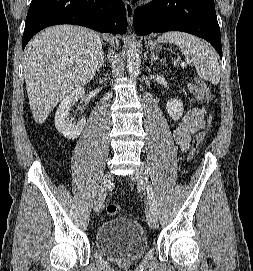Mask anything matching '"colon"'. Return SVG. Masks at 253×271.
<instances>
[{
	"mask_svg": "<svg viewBox=\"0 0 253 271\" xmlns=\"http://www.w3.org/2000/svg\"><path fill=\"white\" fill-rule=\"evenodd\" d=\"M197 86L205 101L210 103L213 100V96L208 85L204 81H198ZM206 133L207 130L201 131L193 138L189 151L190 160L194 159L198 154L199 148L206 136ZM106 211L109 215L115 216L121 213V207L117 204H108Z\"/></svg>",
	"mask_w": 253,
	"mask_h": 271,
	"instance_id": "5ec220e1",
	"label": "colon"
}]
</instances>
